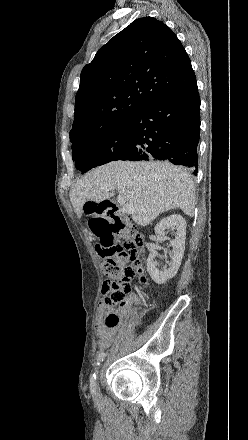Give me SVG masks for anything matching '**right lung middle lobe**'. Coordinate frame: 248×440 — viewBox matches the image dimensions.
Here are the masks:
<instances>
[{
	"instance_id": "obj_1",
	"label": "right lung middle lobe",
	"mask_w": 248,
	"mask_h": 440,
	"mask_svg": "<svg viewBox=\"0 0 248 440\" xmlns=\"http://www.w3.org/2000/svg\"><path fill=\"white\" fill-rule=\"evenodd\" d=\"M132 125L127 121L96 138L76 142L72 145V158L82 173L118 160L128 149Z\"/></svg>"
}]
</instances>
